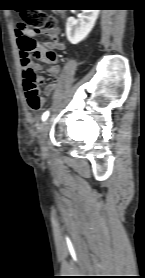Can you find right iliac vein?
Wrapping results in <instances>:
<instances>
[{"label":"right iliac vein","instance_id":"1","mask_svg":"<svg viewBox=\"0 0 145 278\" xmlns=\"http://www.w3.org/2000/svg\"><path fill=\"white\" fill-rule=\"evenodd\" d=\"M49 131V121L46 120L45 123L42 126L40 135H39V143L41 146L42 150H46L47 149V143H46V138H47V134Z\"/></svg>","mask_w":145,"mask_h":278}]
</instances>
